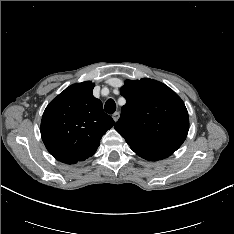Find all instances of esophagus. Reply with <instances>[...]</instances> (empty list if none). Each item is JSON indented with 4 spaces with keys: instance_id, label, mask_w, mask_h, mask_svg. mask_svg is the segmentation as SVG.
Instances as JSON below:
<instances>
[{
    "instance_id": "esophagus-1",
    "label": "esophagus",
    "mask_w": 234,
    "mask_h": 234,
    "mask_svg": "<svg viewBox=\"0 0 234 234\" xmlns=\"http://www.w3.org/2000/svg\"><path fill=\"white\" fill-rule=\"evenodd\" d=\"M119 116H120L119 112H115L114 114H112L113 121L116 122L119 119Z\"/></svg>"
}]
</instances>
